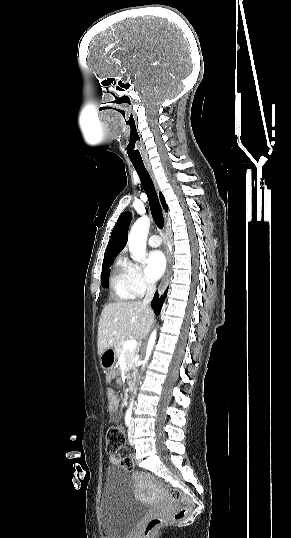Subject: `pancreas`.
<instances>
[{
  "mask_svg": "<svg viewBox=\"0 0 291 538\" xmlns=\"http://www.w3.org/2000/svg\"><path fill=\"white\" fill-rule=\"evenodd\" d=\"M124 343H125V340L119 342L115 346L114 349H115V352H116V355H117L118 358H120L122 355L124 356L125 363H126V369L129 370V369L133 368V365H134L133 359H134V356L137 353V350H133V351L124 350L123 349V344Z\"/></svg>",
  "mask_w": 291,
  "mask_h": 538,
  "instance_id": "pancreas-1",
  "label": "pancreas"
}]
</instances>
